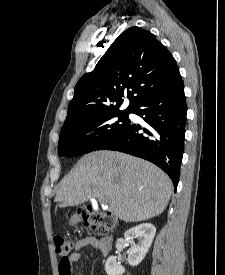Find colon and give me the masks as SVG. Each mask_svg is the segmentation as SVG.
Returning <instances> with one entry per match:
<instances>
[{"label":"colon","mask_w":225,"mask_h":275,"mask_svg":"<svg viewBox=\"0 0 225 275\" xmlns=\"http://www.w3.org/2000/svg\"><path fill=\"white\" fill-rule=\"evenodd\" d=\"M78 212L86 226L99 232H110L118 226V220L112 213L95 210L90 206L81 207ZM54 246L56 253L62 257L59 262L60 275H71L72 266L67 256L72 250V241L62 236H55Z\"/></svg>","instance_id":"colon-1"}]
</instances>
